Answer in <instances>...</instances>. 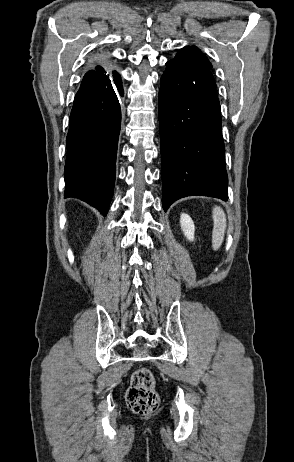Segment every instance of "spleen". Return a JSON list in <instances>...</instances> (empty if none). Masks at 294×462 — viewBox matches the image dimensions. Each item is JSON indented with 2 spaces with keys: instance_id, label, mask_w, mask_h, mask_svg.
<instances>
[{
  "instance_id": "3e777b00",
  "label": "spleen",
  "mask_w": 294,
  "mask_h": 462,
  "mask_svg": "<svg viewBox=\"0 0 294 462\" xmlns=\"http://www.w3.org/2000/svg\"><path fill=\"white\" fill-rule=\"evenodd\" d=\"M213 221L214 228L212 232V244L213 249L217 250L223 242L226 229V216L222 208L216 206L213 209Z\"/></svg>"
}]
</instances>
